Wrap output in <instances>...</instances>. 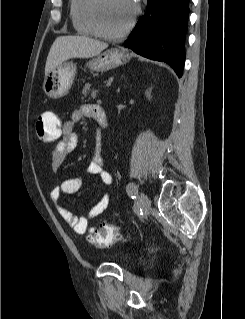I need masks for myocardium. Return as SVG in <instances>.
I'll return each mask as SVG.
<instances>
[{"mask_svg": "<svg viewBox=\"0 0 245 319\" xmlns=\"http://www.w3.org/2000/svg\"><path fill=\"white\" fill-rule=\"evenodd\" d=\"M128 1L133 9L132 17L129 23L119 32H109L103 28L100 20V10L103 0H92L89 9L90 19L98 36L106 39L116 40L126 36L133 29L139 15V6L133 0Z\"/></svg>", "mask_w": 245, "mask_h": 319, "instance_id": "f54148a6", "label": "myocardium"}]
</instances>
